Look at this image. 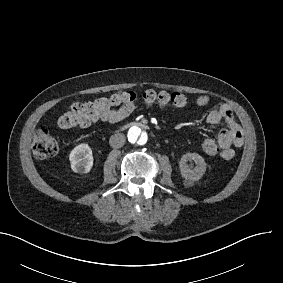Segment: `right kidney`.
<instances>
[{
	"label": "right kidney",
	"instance_id": "obj_1",
	"mask_svg": "<svg viewBox=\"0 0 283 283\" xmlns=\"http://www.w3.org/2000/svg\"><path fill=\"white\" fill-rule=\"evenodd\" d=\"M69 159L74 172L86 173L93 164L92 150L87 144H80L71 151Z\"/></svg>",
	"mask_w": 283,
	"mask_h": 283
}]
</instances>
